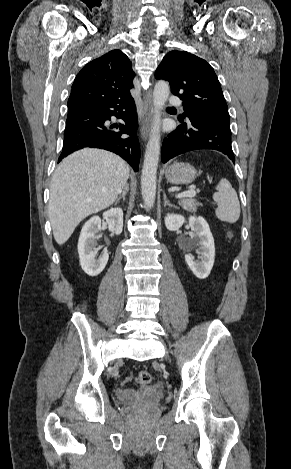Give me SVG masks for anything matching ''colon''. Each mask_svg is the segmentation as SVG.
<instances>
[{"label": "colon", "mask_w": 291, "mask_h": 469, "mask_svg": "<svg viewBox=\"0 0 291 469\" xmlns=\"http://www.w3.org/2000/svg\"><path fill=\"white\" fill-rule=\"evenodd\" d=\"M228 236L231 238L233 237V232L230 231L228 233ZM152 381V375L147 372V371H139L136 376H135V382L140 385V386H146L148 384H150Z\"/></svg>", "instance_id": "obj_1"}]
</instances>
